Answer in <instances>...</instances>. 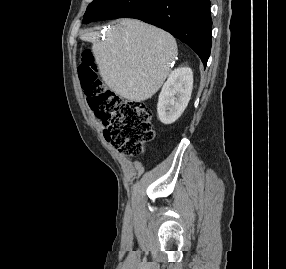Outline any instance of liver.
I'll use <instances>...</instances> for the list:
<instances>
[{
    "label": "liver",
    "mask_w": 286,
    "mask_h": 269,
    "mask_svg": "<svg viewBox=\"0 0 286 269\" xmlns=\"http://www.w3.org/2000/svg\"><path fill=\"white\" fill-rule=\"evenodd\" d=\"M98 32L80 36L92 43V53L107 86L134 102L151 98L162 86L177 55L175 39L136 19H122L100 42Z\"/></svg>",
    "instance_id": "liver-1"
}]
</instances>
